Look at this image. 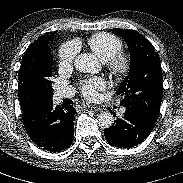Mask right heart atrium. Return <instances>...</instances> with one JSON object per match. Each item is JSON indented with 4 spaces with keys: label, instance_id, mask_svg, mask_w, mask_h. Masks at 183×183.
Instances as JSON below:
<instances>
[{
    "label": "right heart atrium",
    "instance_id": "obj_1",
    "mask_svg": "<svg viewBox=\"0 0 183 183\" xmlns=\"http://www.w3.org/2000/svg\"><path fill=\"white\" fill-rule=\"evenodd\" d=\"M77 45L73 41L66 42L59 49V66L61 68L70 67L77 55Z\"/></svg>",
    "mask_w": 183,
    "mask_h": 183
}]
</instances>
